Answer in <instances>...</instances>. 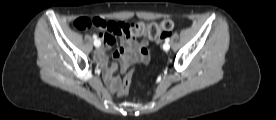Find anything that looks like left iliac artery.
<instances>
[{"instance_id": "44dca946", "label": "left iliac artery", "mask_w": 276, "mask_h": 120, "mask_svg": "<svg viewBox=\"0 0 276 120\" xmlns=\"http://www.w3.org/2000/svg\"><path fill=\"white\" fill-rule=\"evenodd\" d=\"M169 41H170V38L165 39V43H169Z\"/></svg>"}]
</instances>
